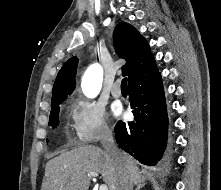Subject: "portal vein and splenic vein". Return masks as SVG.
<instances>
[{
    "label": "portal vein and splenic vein",
    "instance_id": "portal-vein-and-splenic-vein-1",
    "mask_svg": "<svg viewBox=\"0 0 221 190\" xmlns=\"http://www.w3.org/2000/svg\"><path fill=\"white\" fill-rule=\"evenodd\" d=\"M88 176L89 177H96L98 176V173L97 172H89L88 173ZM99 190H108V187L106 184H102L100 187H99Z\"/></svg>",
    "mask_w": 221,
    "mask_h": 190
}]
</instances>
